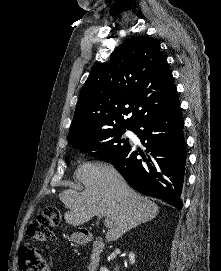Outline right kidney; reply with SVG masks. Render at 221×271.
I'll return each instance as SVG.
<instances>
[{
  "instance_id": "1",
  "label": "right kidney",
  "mask_w": 221,
  "mask_h": 271,
  "mask_svg": "<svg viewBox=\"0 0 221 271\" xmlns=\"http://www.w3.org/2000/svg\"><path fill=\"white\" fill-rule=\"evenodd\" d=\"M128 257H129L130 263H135L136 257H135V253H133V251H130V253H128ZM100 271H109V269H108V267H105V265H102V267H100Z\"/></svg>"
}]
</instances>
